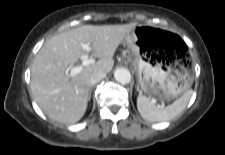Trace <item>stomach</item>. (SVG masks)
<instances>
[{
  "instance_id": "stomach-1",
  "label": "stomach",
  "mask_w": 225,
  "mask_h": 155,
  "mask_svg": "<svg viewBox=\"0 0 225 155\" xmlns=\"http://www.w3.org/2000/svg\"><path fill=\"white\" fill-rule=\"evenodd\" d=\"M126 42L134 55L139 85L149 97L169 101L190 88L192 75L182 58H177L171 32L137 25L126 36ZM169 47L173 48L172 54Z\"/></svg>"
}]
</instances>
